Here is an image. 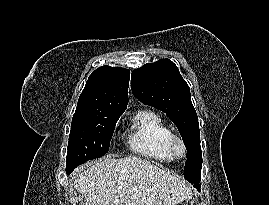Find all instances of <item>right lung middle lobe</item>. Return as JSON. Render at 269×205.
I'll use <instances>...</instances> for the list:
<instances>
[{
  "label": "right lung middle lobe",
  "instance_id": "dd1d6c3e",
  "mask_svg": "<svg viewBox=\"0 0 269 205\" xmlns=\"http://www.w3.org/2000/svg\"><path fill=\"white\" fill-rule=\"evenodd\" d=\"M119 117L120 115L75 112L66 157L67 174L86 161L102 157L109 151L110 140Z\"/></svg>",
  "mask_w": 269,
  "mask_h": 205
}]
</instances>
